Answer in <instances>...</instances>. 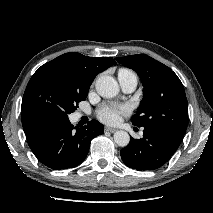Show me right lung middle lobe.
Instances as JSON below:
<instances>
[{"label":"right lung middle lobe","instance_id":"dd1d6c3e","mask_svg":"<svg viewBox=\"0 0 213 213\" xmlns=\"http://www.w3.org/2000/svg\"><path fill=\"white\" fill-rule=\"evenodd\" d=\"M90 85L56 71L39 68L26 87L21 110H35L61 119L86 99Z\"/></svg>","mask_w":213,"mask_h":213}]
</instances>
